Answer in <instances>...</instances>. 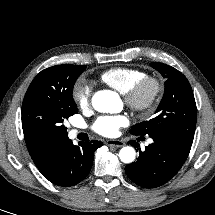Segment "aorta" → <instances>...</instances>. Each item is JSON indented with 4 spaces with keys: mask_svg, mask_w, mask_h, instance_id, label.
Masks as SVG:
<instances>
[{
    "mask_svg": "<svg viewBox=\"0 0 215 215\" xmlns=\"http://www.w3.org/2000/svg\"><path fill=\"white\" fill-rule=\"evenodd\" d=\"M92 106L98 112L117 113L122 108V102L116 92L102 90L92 97ZM136 152L133 147H123L119 152V158L124 163H131L135 159Z\"/></svg>",
    "mask_w": 215,
    "mask_h": 215,
    "instance_id": "obj_1",
    "label": "aorta"
}]
</instances>
